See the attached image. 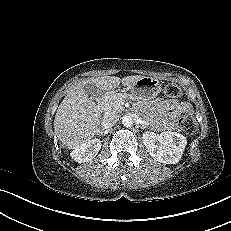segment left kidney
Here are the masks:
<instances>
[{
    "instance_id": "left-kidney-1",
    "label": "left kidney",
    "mask_w": 231,
    "mask_h": 231,
    "mask_svg": "<svg viewBox=\"0 0 231 231\" xmlns=\"http://www.w3.org/2000/svg\"><path fill=\"white\" fill-rule=\"evenodd\" d=\"M142 138L150 156L164 164L177 163L187 145L185 136L171 131L162 132L159 136L147 131ZM157 141H159V145L156 144Z\"/></svg>"
}]
</instances>
